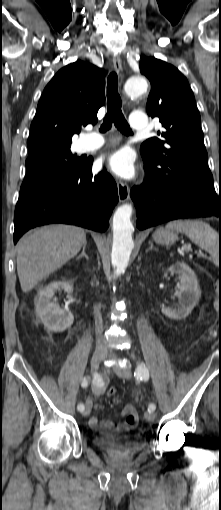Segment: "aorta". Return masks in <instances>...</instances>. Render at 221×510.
<instances>
[{
  "mask_svg": "<svg viewBox=\"0 0 221 510\" xmlns=\"http://www.w3.org/2000/svg\"><path fill=\"white\" fill-rule=\"evenodd\" d=\"M124 89L128 96L137 97L147 91L148 83L142 76H133L127 79ZM132 211L133 208L130 204H123L116 209L113 215L111 261L116 276L125 272L134 248L132 239L134 227L130 220Z\"/></svg>",
  "mask_w": 221,
  "mask_h": 510,
  "instance_id": "1",
  "label": "aorta"
}]
</instances>
